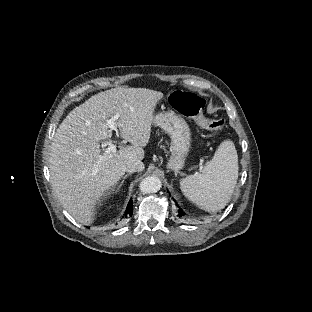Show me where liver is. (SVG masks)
<instances>
[{"instance_id": "liver-1", "label": "liver", "mask_w": 312, "mask_h": 312, "mask_svg": "<svg viewBox=\"0 0 312 312\" xmlns=\"http://www.w3.org/2000/svg\"><path fill=\"white\" fill-rule=\"evenodd\" d=\"M162 98V92L146 88H112L75 107L59 125L48 159L50 182L77 222L90 225L95 206L118 184L127 164L144 158L153 112ZM117 113L120 136L132 146L101 154L99 141L112 136L106 120Z\"/></svg>"}]
</instances>
